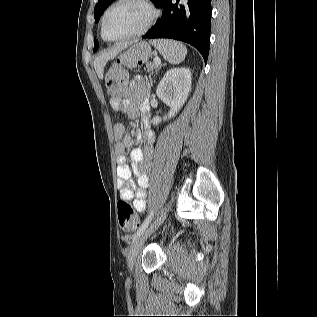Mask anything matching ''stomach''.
I'll use <instances>...</instances> for the list:
<instances>
[{
    "label": "stomach",
    "instance_id": "stomach-1",
    "mask_svg": "<svg viewBox=\"0 0 317 317\" xmlns=\"http://www.w3.org/2000/svg\"><path fill=\"white\" fill-rule=\"evenodd\" d=\"M151 47L145 42H135L127 50L122 52L117 58L122 68H133L135 66H148L151 57ZM116 60V59H115Z\"/></svg>",
    "mask_w": 317,
    "mask_h": 317
}]
</instances>
